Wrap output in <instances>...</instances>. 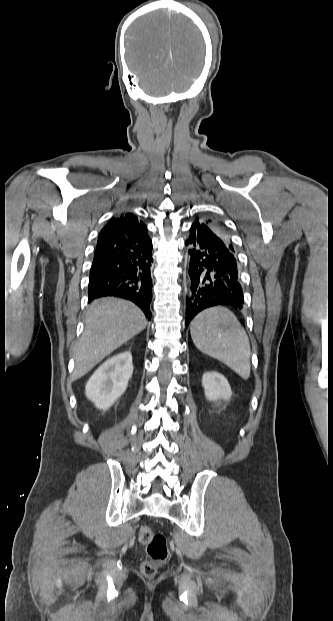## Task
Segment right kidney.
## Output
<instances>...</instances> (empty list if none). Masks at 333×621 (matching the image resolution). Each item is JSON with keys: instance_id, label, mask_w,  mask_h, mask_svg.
<instances>
[{"instance_id": "obj_1", "label": "right kidney", "mask_w": 333, "mask_h": 621, "mask_svg": "<svg viewBox=\"0 0 333 621\" xmlns=\"http://www.w3.org/2000/svg\"><path fill=\"white\" fill-rule=\"evenodd\" d=\"M133 373L132 354L121 352L107 359L86 384V397L101 410L109 409L125 392Z\"/></svg>"}]
</instances>
